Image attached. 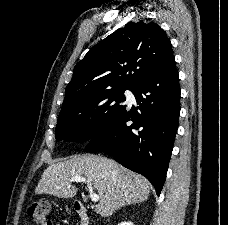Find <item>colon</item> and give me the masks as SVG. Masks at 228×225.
I'll return each instance as SVG.
<instances>
[{
    "instance_id": "5ec220e1",
    "label": "colon",
    "mask_w": 228,
    "mask_h": 225,
    "mask_svg": "<svg viewBox=\"0 0 228 225\" xmlns=\"http://www.w3.org/2000/svg\"><path fill=\"white\" fill-rule=\"evenodd\" d=\"M27 215L33 218L36 225H56L51 222L50 204L47 201L30 202L26 209Z\"/></svg>"
}]
</instances>
